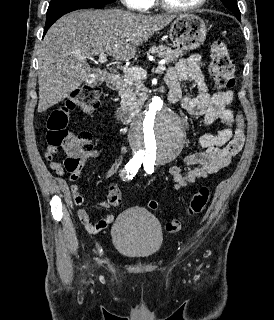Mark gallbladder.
<instances>
[{"mask_svg": "<svg viewBox=\"0 0 274 320\" xmlns=\"http://www.w3.org/2000/svg\"><path fill=\"white\" fill-rule=\"evenodd\" d=\"M87 77L84 80L86 85H101L105 79H108V72H99L97 68H93L91 72H88Z\"/></svg>", "mask_w": 274, "mask_h": 320, "instance_id": "bac80fb5", "label": "gallbladder"}]
</instances>
